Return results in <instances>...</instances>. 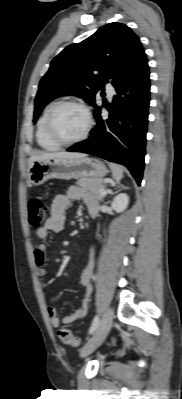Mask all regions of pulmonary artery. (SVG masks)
Returning a JSON list of instances; mask_svg holds the SVG:
<instances>
[{
    "label": "pulmonary artery",
    "mask_w": 182,
    "mask_h": 399,
    "mask_svg": "<svg viewBox=\"0 0 182 399\" xmlns=\"http://www.w3.org/2000/svg\"><path fill=\"white\" fill-rule=\"evenodd\" d=\"M106 89H107V92H108L110 97L115 95L116 91H115V88L113 87V85L108 84Z\"/></svg>",
    "instance_id": "e3ab8cb5"
}]
</instances>
